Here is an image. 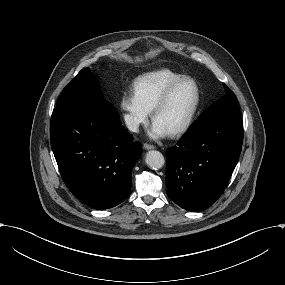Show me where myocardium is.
<instances>
[{"label":"myocardium","mask_w":285,"mask_h":285,"mask_svg":"<svg viewBox=\"0 0 285 285\" xmlns=\"http://www.w3.org/2000/svg\"><path fill=\"white\" fill-rule=\"evenodd\" d=\"M185 82H192L194 84L196 91H197L196 101H195V104H194L190 114L185 119V121L183 123H181L179 126L175 127L171 131H169V133L172 135H176V134L182 133L185 130H187L190 127V125L192 124L194 118L196 117V115L198 113V110L200 108L201 101H202V90H201L200 84L197 82V80L192 78V77H189V76H186V77H183V78L177 80L176 82L171 84L166 89V91L163 93V95L161 96V98L159 99V101L156 103V105L154 106V108L152 110V117H153V119H155L156 114L168 103V101L170 100L174 91L181 84H183Z\"/></svg>","instance_id":"1"}]
</instances>
